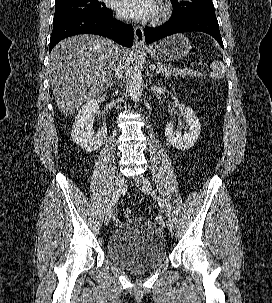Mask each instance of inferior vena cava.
Masks as SVG:
<instances>
[{
	"mask_svg": "<svg viewBox=\"0 0 272 303\" xmlns=\"http://www.w3.org/2000/svg\"><path fill=\"white\" fill-rule=\"evenodd\" d=\"M122 73H123V71H122V66H121V64H119V65L116 67V69H115V77H116L117 79L122 78Z\"/></svg>",
	"mask_w": 272,
	"mask_h": 303,
	"instance_id": "inferior-vena-cava-1",
	"label": "inferior vena cava"
}]
</instances>
